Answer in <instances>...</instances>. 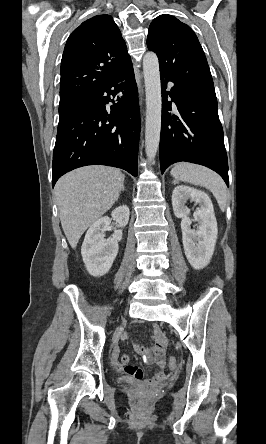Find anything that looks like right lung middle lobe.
Returning <instances> with one entry per match:
<instances>
[{
	"label": "right lung middle lobe",
	"instance_id": "1",
	"mask_svg": "<svg viewBox=\"0 0 266 444\" xmlns=\"http://www.w3.org/2000/svg\"><path fill=\"white\" fill-rule=\"evenodd\" d=\"M87 97L88 96H76V97L60 99L59 117H62L65 114H67L68 112H70L72 109H74L79 104H81L83 101H85Z\"/></svg>",
	"mask_w": 266,
	"mask_h": 444
}]
</instances>
